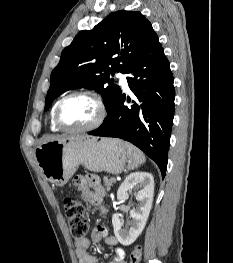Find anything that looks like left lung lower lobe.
Masks as SVG:
<instances>
[{
	"instance_id": "obj_1",
	"label": "left lung lower lobe",
	"mask_w": 233,
	"mask_h": 263,
	"mask_svg": "<svg viewBox=\"0 0 233 263\" xmlns=\"http://www.w3.org/2000/svg\"><path fill=\"white\" fill-rule=\"evenodd\" d=\"M128 85L135 97L124 106L121 95L103 124L90 135L117 137L140 148L159 166L162 177L168 161L171 128L174 117L175 90L170 64L158 40L126 72Z\"/></svg>"
}]
</instances>
